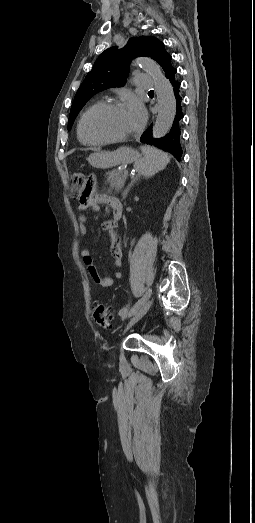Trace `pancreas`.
Masks as SVG:
<instances>
[{"mask_svg":"<svg viewBox=\"0 0 255 523\" xmlns=\"http://www.w3.org/2000/svg\"><path fill=\"white\" fill-rule=\"evenodd\" d=\"M107 180L109 182L110 190H113L115 194H118L124 186V182L127 176L123 170H113V172H107Z\"/></svg>","mask_w":255,"mask_h":523,"instance_id":"pancreas-1","label":"pancreas"}]
</instances>
